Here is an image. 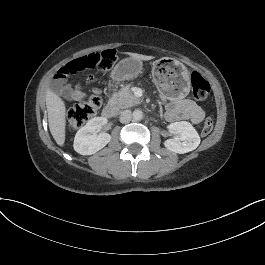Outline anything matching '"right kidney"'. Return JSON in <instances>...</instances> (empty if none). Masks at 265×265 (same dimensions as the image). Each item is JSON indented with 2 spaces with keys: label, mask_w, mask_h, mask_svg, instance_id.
<instances>
[{
  "label": "right kidney",
  "mask_w": 265,
  "mask_h": 265,
  "mask_svg": "<svg viewBox=\"0 0 265 265\" xmlns=\"http://www.w3.org/2000/svg\"><path fill=\"white\" fill-rule=\"evenodd\" d=\"M105 117H94L80 128L74 138V150L81 155H92L105 147L111 140L108 133L97 134L107 124Z\"/></svg>",
  "instance_id": "obj_1"
}]
</instances>
